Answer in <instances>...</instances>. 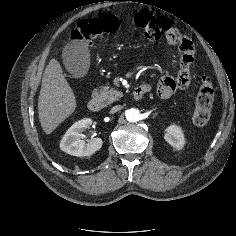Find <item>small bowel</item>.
Wrapping results in <instances>:
<instances>
[{"instance_id":"obj_1","label":"small bowel","mask_w":236,"mask_h":236,"mask_svg":"<svg viewBox=\"0 0 236 236\" xmlns=\"http://www.w3.org/2000/svg\"><path fill=\"white\" fill-rule=\"evenodd\" d=\"M175 44L180 50L179 69L176 77L166 75L163 76L156 84L159 95L163 98L171 97L177 90L185 89L190 83V70L194 61V47L192 42L185 38L179 44ZM186 78V79H185ZM183 80H188L186 85H182ZM150 90V85H144Z\"/></svg>"}]
</instances>
